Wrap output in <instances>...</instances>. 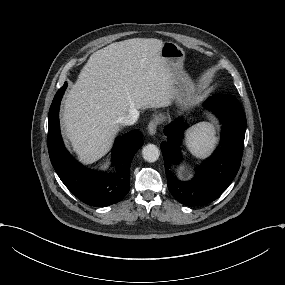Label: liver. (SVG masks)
Segmentation results:
<instances>
[{"mask_svg": "<svg viewBox=\"0 0 285 285\" xmlns=\"http://www.w3.org/2000/svg\"><path fill=\"white\" fill-rule=\"evenodd\" d=\"M157 39H130L93 54L65 102L67 136L82 160L108 150L118 118L132 108L164 107L173 99L177 74Z\"/></svg>", "mask_w": 285, "mask_h": 285, "instance_id": "6515ba94", "label": "liver"}]
</instances>
